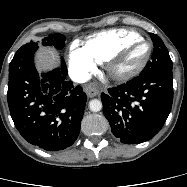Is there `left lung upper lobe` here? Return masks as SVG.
I'll return each instance as SVG.
<instances>
[{
  "instance_id": "obj_1",
  "label": "left lung upper lobe",
  "mask_w": 187,
  "mask_h": 187,
  "mask_svg": "<svg viewBox=\"0 0 187 187\" xmlns=\"http://www.w3.org/2000/svg\"><path fill=\"white\" fill-rule=\"evenodd\" d=\"M150 35L154 43V51L151 60L147 63L140 75L172 70V60L163 41L156 34L151 33Z\"/></svg>"
}]
</instances>
